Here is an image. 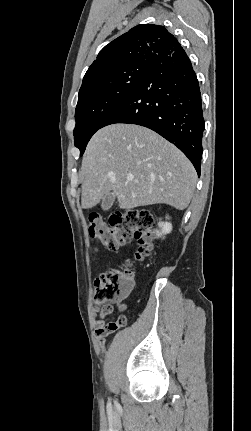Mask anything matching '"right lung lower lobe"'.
<instances>
[{
  "instance_id": "98d812e1",
  "label": "right lung lower lobe",
  "mask_w": 251,
  "mask_h": 431,
  "mask_svg": "<svg viewBox=\"0 0 251 431\" xmlns=\"http://www.w3.org/2000/svg\"><path fill=\"white\" fill-rule=\"evenodd\" d=\"M154 130L178 147L200 176L204 118L199 82L183 49L151 56L135 91L108 117Z\"/></svg>"
}]
</instances>
